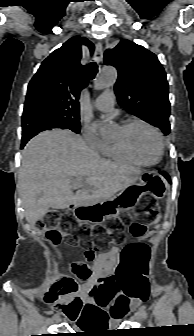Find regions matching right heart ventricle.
<instances>
[{
    "instance_id": "right-heart-ventricle-1",
    "label": "right heart ventricle",
    "mask_w": 194,
    "mask_h": 336,
    "mask_svg": "<svg viewBox=\"0 0 194 336\" xmlns=\"http://www.w3.org/2000/svg\"><path fill=\"white\" fill-rule=\"evenodd\" d=\"M101 154L107 159L113 160L118 163L129 164V165H140L132 158H130L123 150L114 143H106Z\"/></svg>"
}]
</instances>
